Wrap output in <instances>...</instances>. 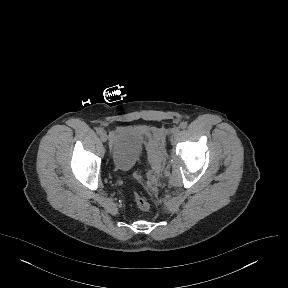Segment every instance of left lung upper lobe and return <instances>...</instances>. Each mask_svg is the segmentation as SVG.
<instances>
[{
	"mask_svg": "<svg viewBox=\"0 0 288 288\" xmlns=\"http://www.w3.org/2000/svg\"><path fill=\"white\" fill-rule=\"evenodd\" d=\"M259 211H254L252 214H251V216H252V219L253 218H256L258 215H259Z\"/></svg>",
	"mask_w": 288,
	"mask_h": 288,
	"instance_id": "obj_1",
	"label": "left lung upper lobe"
}]
</instances>
